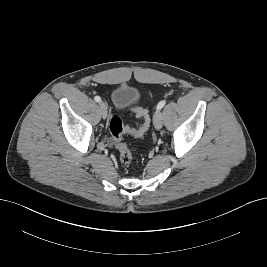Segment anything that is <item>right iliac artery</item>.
<instances>
[{
    "instance_id": "right-iliac-artery-1",
    "label": "right iliac artery",
    "mask_w": 267,
    "mask_h": 267,
    "mask_svg": "<svg viewBox=\"0 0 267 267\" xmlns=\"http://www.w3.org/2000/svg\"><path fill=\"white\" fill-rule=\"evenodd\" d=\"M94 99H95L96 102H101V98L99 96H95Z\"/></svg>"
}]
</instances>
